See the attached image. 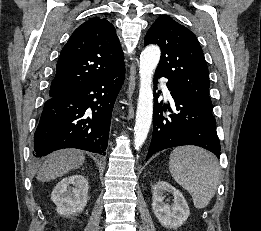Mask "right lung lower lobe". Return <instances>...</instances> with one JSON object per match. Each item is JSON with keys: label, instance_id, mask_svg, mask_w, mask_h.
Wrapping results in <instances>:
<instances>
[{"label": "right lung lower lobe", "instance_id": "obj_1", "mask_svg": "<svg viewBox=\"0 0 261 231\" xmlns=\"http://www.w3.org/2000/svg\"><path fill=\"white\" fill-rule=\"evenodd\" d=\"M125 66L44 104L34 135V157L63 148L106 154L112 109Z\"/></svg>", "mask_w": 261, "mask_h": 231}]
</instances>
